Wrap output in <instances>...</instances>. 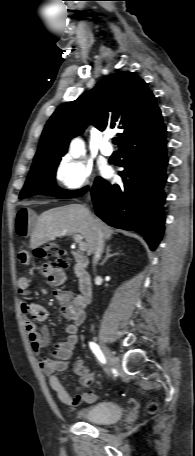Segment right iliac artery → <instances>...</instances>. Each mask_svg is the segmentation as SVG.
Masks as SVG:
<instances>
[{"label": "right iliac artery", "instance_id": "obj_1", "mask_svg": "<svg viewBox=\"0 0 195 456\" xmlns=\"http://www.w3.org/2000/svg\"><path fill=\"white\" fill-rule=\"evenodd\" d=\"M89 346H90L91 350L93 351V353L95 354V356L98 358V360L101 363L105 364L106 363V359H105L102 351L100 350L99 346L96 343H94V342H90Z\"/></svg>", "mask_w": 195, "mask_h": 456}]
</instances>
